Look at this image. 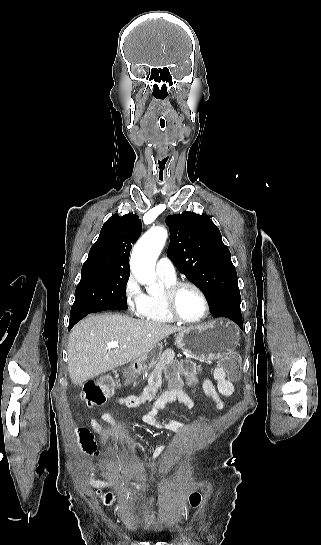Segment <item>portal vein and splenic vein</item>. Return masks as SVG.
Listing matches in <instances>:
<instances>
[{
	"mask_svg": "<svg viewBox=\"0 0 321 545\" xmlns=\"http://www.w3.org/2000/svg\"><path fill=\"white\" fill-rule=\"evenodd\" d=\"M107 349H116V347H119V343L117 341H110V343H106Z\"/></svg>",
	"mask_w": 321,
	"mask_h": 545,
	"instance_id": "portal-vein-and-splenic-vein-1",
	"label": "portal vein and splenic vein"
}]
</instances>
